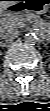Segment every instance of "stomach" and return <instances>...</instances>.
Returning <instances> with one entry per match:
<instances>
[{
    "mask_svg": "<svg viewBox=\"0 0 50 111\" xmlns=\"http://www.w3.org/2000/svg\"><path fill=\"white\" fill-rule=\"evenodd\" d=\"M25 9L35 14H44L50 7V0H25Z\"/></svg>",
    "mask_w": 50,
    "mask_h": 111,
    "instance_id": "1",
    "label": "stomach"
}]
</instances>
